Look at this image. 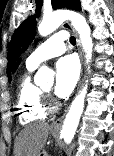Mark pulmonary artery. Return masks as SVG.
Here are the masks:
<instances>
[{"label":"pulmonary artery","instance_id":"pulmonary-artery-1","mask_svg":"<svg viewBox=\"0 0 114 156\" xmlns=\"http://www.w3.org/2000/svg\"><path fill=\"white\" fill-rule=\"evenodd\" d=\"M67 33L60 31L39 45L27 58L26 63L37 67L44 61L62 55L66 51Z\"/></svg>","mask_w":114,"mask_h":156}]
</instances>
